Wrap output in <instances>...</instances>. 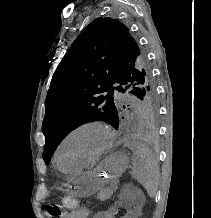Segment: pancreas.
Returning a JSON list of instances; mask_svg holds the SVG:
<instances>
[{
	"mask_svg": "<svg viewBox=\"0 0 211 218\" xmlns=\"http://www.w3.org/2000/svg\"><path fill=\"white\" fill-rule=\"evenodd\" d=\"M117 188V182H114V184H111L109 188H105V190H100L98 194L99 200H102V202H104V200H109L110 196H112L113 192H116Z\"/></svg>",
	"mask_w": 211,
	"mask_h": 218,
	"instance_id": "pancreas-1",
	"label": "pancreas"
}]
</instances>
